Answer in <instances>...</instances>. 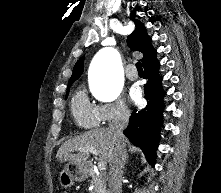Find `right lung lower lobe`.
I'll return each instance as SVG.
<instances>
[{"instance_id":"1","label":"right lung lower lobe","mask_w":221,"mask_h":193,"mask_svg":"<svg viewBox=\"0 0 221 193\" xmlns=\"http://www.w3.org/2000/svg\"><path fill=\"white\" fill-rule=\"evenodd\" d=\"M158 68V61L144 67V79L148 80L144 85V93L148 104L144 109L132 112L129 125L123 131L133 145L143 150L152 165L155 164V151L160 138L164 97L161 80L156 73Z\"/></svg>"}]
</instances>
